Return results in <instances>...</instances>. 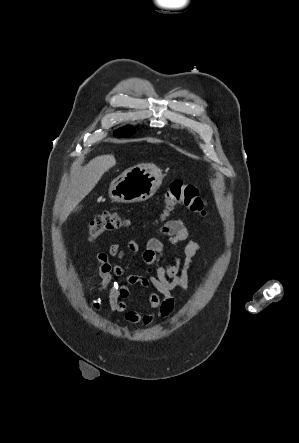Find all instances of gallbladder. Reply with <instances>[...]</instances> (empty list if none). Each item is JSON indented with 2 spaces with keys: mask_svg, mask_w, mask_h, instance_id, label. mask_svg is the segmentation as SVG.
<instances>
[{
  "mask_svg": "<svg viewBox=\"0 0 299 443\" xmlns=\"http://www.w3.org/2000/svg\"><path fill=\"white\" fill-rule=\"evenodd\" d=\"M79 209H81V207H80V206H77V207L74 209V211H78Z\"/></svg>",
  "mask_w": 299,
  "mask_h": 443,
  "instance_id": "1",
  "label": "gallbladder"
}]
</instances>
